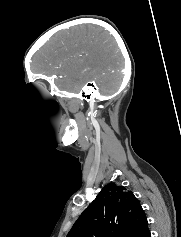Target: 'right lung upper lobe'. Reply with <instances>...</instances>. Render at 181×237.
<instances>
[{
    "mask_svg": "<svg viewBox=\"0 0 181 237\" xmlns=\"http://www.w3.org/2000/svg\"><path fill=\"white\" fill-rule=\"evenodd\" d=\"M146 215L131 191L105 185L80 215L67 237H146Z\"/></svg>",
    "mask_w": 181,
    "mask_h": 237,
    "instance_id": "obj_1",
    "label": "right lung upper lobe"
}]
</instances>
